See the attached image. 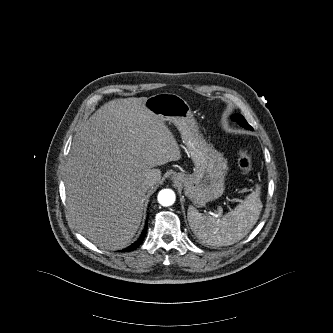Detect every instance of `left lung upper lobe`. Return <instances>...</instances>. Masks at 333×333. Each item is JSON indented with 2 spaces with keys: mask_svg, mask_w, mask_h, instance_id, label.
I'll use <instances>...</instances> for the list:
<instances>
[{
  "mask_svg": "<svg viewBox=\"0 0 333 333\" xmlns=\"http://www.w3.org/2000/svg\"><path fill=\"white\" fill-rule=\"evenodd\" d=\"M232 120L239 123L244 128L251 129V126L247 123L242 115L236 114L232 117Z\"/></svg>",
  "mask_w": 333,
  "mask_h": 333,
  "instance_id": "1",
  "label": "left lung upper lobe"
}]
</instances>
